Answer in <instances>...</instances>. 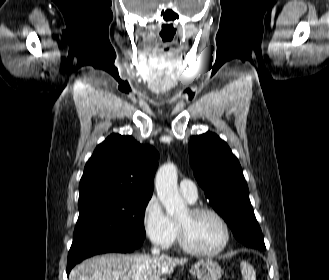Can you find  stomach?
<instances>
[{
    "instance_id": "1",
    "label": "stomach",
    "mask_w": 329,
    "mask_h": 280,
    "mask_svg": "<svg viewBox=\"0 0 329 280\" xmlns=\"http://www.w3.org/2000/svg\"><path fill=\"white\" fill-rule=\"evenodd\" d=\"M190 273L198 280H219L222 277L221 267L213 260H201L192 265Z\"/></svg>"
}]
</instances>
